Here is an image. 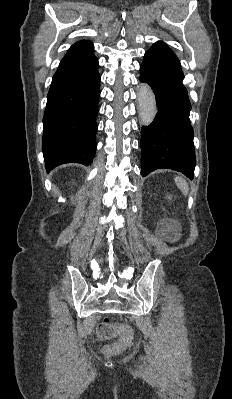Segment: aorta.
Segmentation results:
<instances>
[{"label": "aorta", "instance_id": "aorta-1", "mask_svg": "<svg viewBox=\"0 0 232 399\" xmlns=\"http://www.w3.org/2000/svg\"><path fill=\"white\" fill-rule=\"evenodd\" d=\"M138 104L141 123L148 126L154 120L157 110L154 93L146 83L140 85L138 91Z\"/></svg>", "mask_w": 232, "mask_h": 399}]
</instances>
